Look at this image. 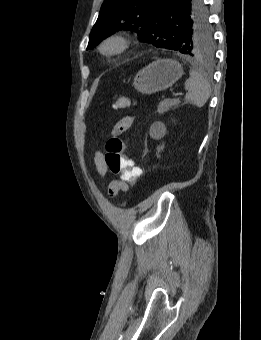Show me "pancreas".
Returning a JSON list of instances; mask_svg holds the SVG:
<instances>
[{"label":"pancreas","mask_w":261,"mask_h":340,"mask_svg":"<svg viewBox=\"0 0 261 340\" xmlns=\"http://www.w3.org/2000/svg\"><path fill=\"white\" fill-rule=\"evenodd\" d=\"M180 104V101L177 99H166L164 101H161L158 104V114H164L165 112H168L171 108H177Z\"/></svg>","instance_id":"pancreas-1"}]
</instances>
